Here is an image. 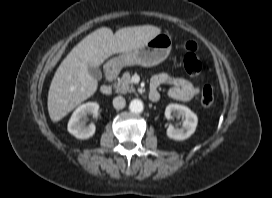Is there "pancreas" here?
<instances>
[{
  "mask_svg": "<svg viewBox=\"0 0 272 198\" xmlns=\"http://www.w3.org/2000/svg\"><path fill=\"white\" fill-rule=\"evenodd\" d=\"M117 93L126 94L134 93L136 89L131 81L130 72L126 71L123 73L122 77L118 79V82L114 85Z\"/></svg>",
  "mask_w": 272,
  "mask_h": 198,
  "instance_id": "pancreas-1",
  "label": "pancreas"
}]
</instances>
